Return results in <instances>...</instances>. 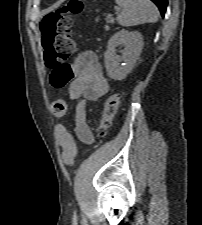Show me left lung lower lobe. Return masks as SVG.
<instances>
[{
	"label": "left lung lower lobe",
	"instance_id": "left-lung-lower-lobe-1",
	"mask_svg": "<svg viewBox=\"0 0 202 225\" xmlns=\"http://www.w3.org/2000/svg\"><path fill=\"white\" fill-rule=\"evenodd\" d=\"M151 1H153L157 5V7L161 12L162 17H164L168 1L167 0H151Z\"/></svg>",
	"mask_w": 202,
	"mask_h": 225
}]
</instances>
